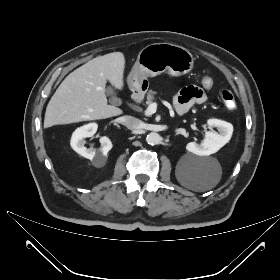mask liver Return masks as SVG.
<instances>
[{"instance_id":"6515ba94","label":"liver","mask_w":280,"mask_h":280,"mask_svg":"<svg viewBox=\"0 0 280 280\" xmlns=\"http://www.w3.org/2000/svg\"><path fill=\"white\" fill-rule=\"evenodd\" d=\"M124 69V54L113 52L96 57L71 72L47 105L44 128L122 114L120 108L108 105L105 85L109 81L121 90Z\"/></svg>"}]
</instances>
